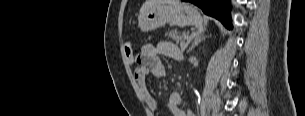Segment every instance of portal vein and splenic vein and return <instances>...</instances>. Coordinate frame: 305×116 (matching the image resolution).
Segmentation results:
<instances>
[{"label": "portal vein and splenic vein", "mask_w": 305, "mask_h": 116, "mask_svg": "<svg viewBox=\"0 0 305 116\" xmlns=\"http://www.w3.org/2000/svg\"><path fill=\"white\" fill-rule=\"evenodd\" d=\"M185 39L187 40V42H189L190 41V37H185Z\"/></svg>", "instance_id": "obj_1"}]
</instances>
